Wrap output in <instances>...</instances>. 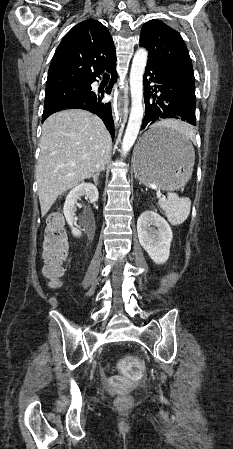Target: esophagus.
<instances>
[{
  "instance_id": "obj_1",
  "label": "esophagus",
  "mask_w": 233,
  "mask_h": 449,
  "mask_svg": "<svg viewBox=\"0 0 233 449\" xmlns=\"http://www.w3.org/2000/svg\"><path fill=\"white\" fill-rule=\"evenodd\" d=\"M123 103H124V98L121 97V98L119 99V102H118V109H119V112H121V111L123 110Z\"/></svg>"
}]
</instances>
